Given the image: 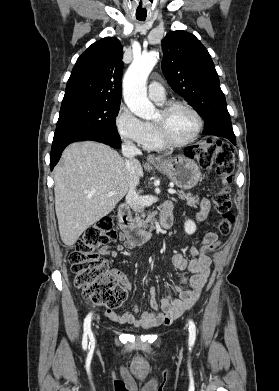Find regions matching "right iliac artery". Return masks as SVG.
<instances>
[{"mask_svg":"<svg viewBox=\"0 0 279 391\" xmlns=\"http://www.w3.org/2000/svg\"><path fill=\"white\" fill-rule=\"evenodd\" d=\"M91 319H92V313H89L84 320V334L82 339V346L84 349H86L88 345V336L90 338L89 347L90 345L93 346L95 344L93 333L91 331Z\"/></svg>","mask_w":279,"mask_h":391,"instance_id":"obj_1","label":"right iliac artery"}]
</instances>
